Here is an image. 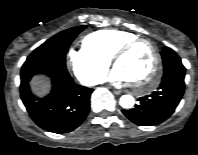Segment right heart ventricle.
I'll list each match as a JSON object with an SVG mask.
<instances>
[{"mask_svg":"<svg viewBox=\"0 0 198 155\" xmlns=\"http://www.w3.org/2000/svg\"><path fill=\"white\" fill-rule=\"evenodd\" d=\"M138 37L120 29H103L92 32L84 38V45L103 58L110 60L114 52L125 42Z\"/></svg>","mask_w":198,"mask_h":155,"instance_id":"e07e8e85","label":"right heart ventricle"}]
</instances>
